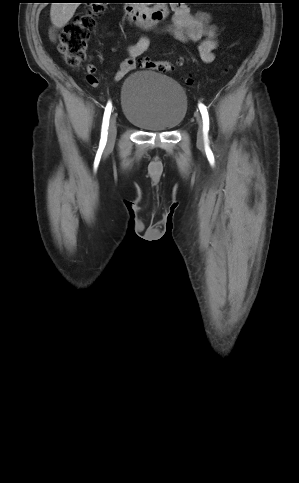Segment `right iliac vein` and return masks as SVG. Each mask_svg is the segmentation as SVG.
<instances>
[{"mask_svg":"<svg viewBox=\"0 0 299 483\" xmlns=\"http://www.w3.org/2000/svg\"><path fill=\"white\" fill-rule=\"evenodd\" d=\"M117 134L116 117L113 115L110 119V124L108 128V144L114 143Z\"/></svg>","mask_w":299,"mask_h":483,"instance_id":"1","label":"right iliac vein"}]
</instances>
